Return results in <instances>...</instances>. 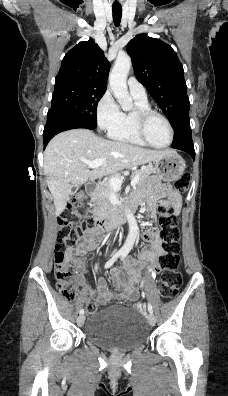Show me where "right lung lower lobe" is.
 <instances>
[{"mask_svg": "<svg viewBox=\"0 0 228 396\" xmlns=\"http://www.w3.org/2000/svg\"><path fill=\"white\" fill-rule=\"evenodd\" d=\"M76 128H86L93 130V128L89 124L76 118L57 113L48 114L47 123L44 127L43 132L44 148L51 140V138H53L56 134L62 131Z\"/></svg>", "mask_w": 228, "mask_h": 396, "instance_id": "obj_1", "label": "right lung lower lobe"}]
</instances>
